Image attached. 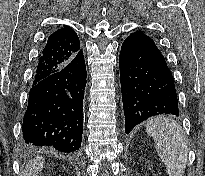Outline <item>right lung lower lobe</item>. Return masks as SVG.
Instances as JSON below:
<instances>
[{
	"instance_id": "right-lung-lower-lobe-1",
	"label": "right lung lower lobe",
	"mask_w": 205,
	"mask_h": 176,
	"mask_svg": "<svg viewBox=\"0 0 205 176\" xmlns=\"http://www.w3.org/2000/svg\"><path fill=\"white\" fill-rule=\"evenodd\" d=\"M86 66L82 50L60 70L35 82L22 131L25 146L77 152L81 147Z\"/></svg>"
}]
</instances>
